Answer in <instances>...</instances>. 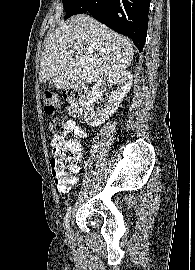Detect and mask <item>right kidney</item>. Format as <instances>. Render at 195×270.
<instances>
[{"label": "right kidney", "instance_id": "1", "mask_svg": "<svg viewBox=\"0 0 195 270\" xmlns=\"http://www.w3.org/2000/svg\"><path fill=\"white\" fill-rule=\"evenodd\" d=\"M133 81V75L129 71L109 76L108 78L97 81L92 87V94L84 107V118L91 127H97L111 117L130 91ZM117 85V88L111 92L109 100L104 108L95 110L98 99L105 93L107 88Z\"/></svg>", "mask_w": 195, "mask_h": 270}]
</instances>
